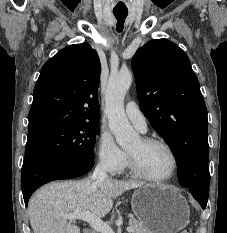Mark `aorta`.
Segmentation results:
<instances>
[{
  "instance_id": "obj_1",
  "label": "aorta",
  "mask_w": 227,
  "mask_h": 233,
  "mask_svg": "<svg viewBox=\"0 0 227 233\" xmlns=\"http://www.w3.org/2000/svg\"><path fill=\"white\" fill-rule=\"evenodd\" d=\"M131 83L132 73L129 70L111 74L105 95L109 128L122 148H127L138 137L124 110V97Z\"/></svg>"
}]
</instances>
